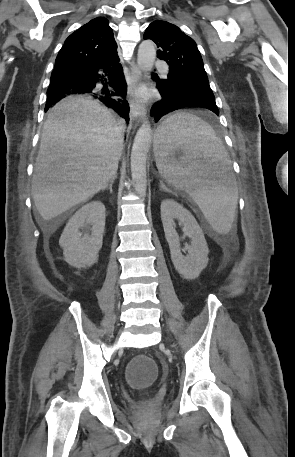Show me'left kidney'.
<instances>
[{"label":"left kidney","instance_id":"5707ae66","mask_svg":"<svg viewBox=\"0 0 295 457\" xmlns=\"http://www.w3.org/2000/svg\"><path fill=\"white\" fill-rule=\"evenodd\" d=\"M161 220L176 271L185 279L197 278L209 261V249L202 228L186 208L172 199L162 201ZM175 220L183 225L184 234L192 239L191 245L186 247V257L181 253Z\"/></svg>","mask_w":295,"mask_h":457}]
</instances>
